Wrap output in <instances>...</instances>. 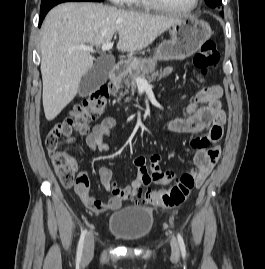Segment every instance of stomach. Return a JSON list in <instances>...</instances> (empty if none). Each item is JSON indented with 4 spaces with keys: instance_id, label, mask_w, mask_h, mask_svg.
<instances>
[{
    "instance_id": "stomach-1",
    "label": "stomach",
    "mask_w": 265,
    "mask_h": 269,
    "mask_svg": "<svg viewBox=\"0 0 265 269\" xmlns=\"http://www.w3.org/2000/svg\"><path fill=\"white\" fill-rule=\"evenodd\" d=\"M211 35L212 29L206 21L194 18L180 19L172 27L171 39L163 41L152 58L129 60L128 64L143 73H151L157 61L184 60L190 57Z\"/></svg>"
}]
</instances>
